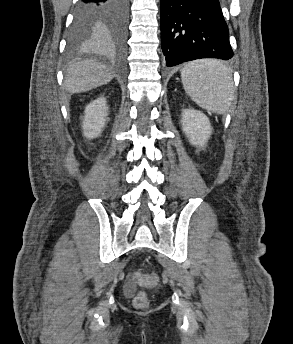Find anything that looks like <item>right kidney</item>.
Listing matches in <instances>:
<instances>
[{
	"instance_id": "obj_1",
	"label": "right kidney",
	"mask_w": 293,
	"mask_h": 344,
	"mask_svg": "<svg viewBox=\"0 0 293 344\" xmlns=\"http://www.w3.org/2000/svg\"><path fill=\"white\" fill-rule=\"evenodd\" d=\"M108 116V107L105 97H99L90 102L84 111V120L82 122L83 134L88 139L100 136L105 127Z\"/></svg>"
}]
</instances>
